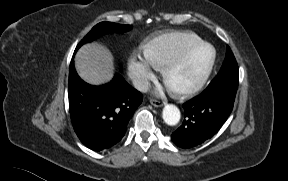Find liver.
<instances>
[{
    "instance_id": "1",
    "label": "liver",
    "mask_w": 288,
    "mask_h": 181,
    "mask_svg": "<svg viewBox=\"0 0 288 181\" xmlns=\"http://www.w3.org/2000/svg\"><path fill=\"white\" fill-rule=\"evenodd\" d=\"M75 68L87 83L104 84L113 77V57L110 51L100 44H86L76 53Z\"/></svg>"
}]
</instances>
